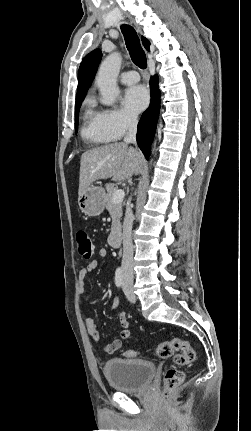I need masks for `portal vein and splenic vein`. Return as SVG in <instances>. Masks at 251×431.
I'll list each match as a JSON object with an SVG mask.
<instances>
[{"instance_id": "1", "label": "portal vein and splenic vein", "mask_w": 251, "mask_h": 431, "mask_svg": "<svg viewBox=\"0 0 251 431\" xmlns=\"http://www.w3.org/2000/svg\"><path fill=\"white\" fill-rule=\"evenodd\" d=\"M125 197V192L122 189L117 190L112 197V201L117 204L121 203Z\"/></svg>"}]
</instances>
